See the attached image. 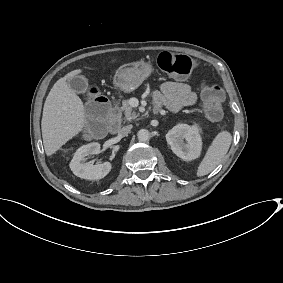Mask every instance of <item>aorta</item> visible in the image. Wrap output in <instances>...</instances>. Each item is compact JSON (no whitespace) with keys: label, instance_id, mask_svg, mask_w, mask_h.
<instances>
[{"label":"aorta","instance_id":"1","mask_svg":"<svg viewBox=\"0 0 283 283\" xmlns=\"http://www.w3.org/2000/svg\"><path fill=\"white\" fill-rule=\"evenodd\" d=\"M139 141L146 142L150 139V132L147 129H140L137 133Z\"/></svg>","mask_w":283,"mask_h":283}]
</instances>
